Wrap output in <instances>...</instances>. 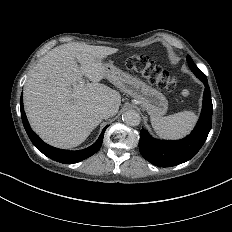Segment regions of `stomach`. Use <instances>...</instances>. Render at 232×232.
I'll list each match as a JSON object with an SVG mask.
<instances>
[{"label": "stomach", "instance_id": "1", "mask_svg": "<svg viewBox=\"0 0 232 232\" xmlns=\"http://www.w3.org/2000/svg\"><path fill=\"white\" fill-rule=\"evenodd\" d=\"M105 67V78L122 92L138 101L144 110L151 116L161 117L168 109L166 97L155 88L147 85L139 78L115 67L111 62L103 63Z\"/></svg>", "mask_w": 232, "mask_h": 232}]
</instances>
